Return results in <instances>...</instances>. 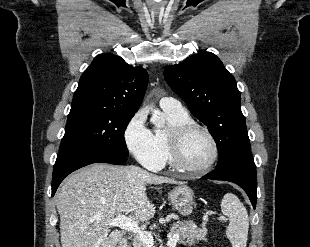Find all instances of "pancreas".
<instances>
[{
    "label": "pancreas",
    "mask_w": 310,
    "mask_h": 247,
    "mask_svg": "<svg viewBox=\"0 0 310 247\" xmlns=\"http://www.w3.org/2000/svg\"><path fill=\"white\" fill-rule=\"evenodd\" d=\"M156 225L150 227L151 230L156 229ZM170 236L174 234L179 235L178 242L183 245L192 246L200 241H207V229L204 227L202 229L197 228L196 224L192 221L187 222H177L175 223L170 231ZM133 247H146V245L140 240L138 236H135L132 242Z\"/></svg>",
    "instance_id": "pancreas-1"
}]
</instances>
